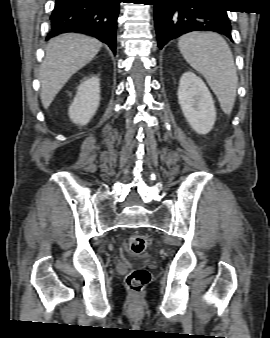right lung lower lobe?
<instances>
[{
	"label": "right lung lower lobe",
	"mask_w": 270,
	"mask_h": 338,
	"mask_svg": "<svg viewBox=\"0 0 270 338\" xmlns=\"http://www.w3.org/2000/svg\"><path fill=\"white\" fill-rule=\"evenodd\" d=\"M121 0H56L46 40L65 32L98 38L116 52V23Z\"/></svg>",
	"instance_id": "obj_1"
}]
</instances>
